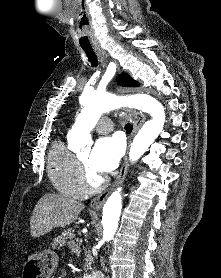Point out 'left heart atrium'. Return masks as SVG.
I'll use <instances>...</instances> for the list:
<instances>
[{
	"mask_svg": "<svg viewBox=\"0 0 221 278\" xmlns=\"http://www.w3.org/2000/svg\"><path fill=\"white\" fill-rule=\"evenodd\" d=\"M122 143L116 137L99 139L90 154L89 165L98 175L112 172L119 164Z\"/></svg>",
	"mask_w": 221,
	"mask_h": 278,
	"instance_id": "39dd6f15",
	"label": "left heart atrium"
}]
</instances>
